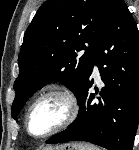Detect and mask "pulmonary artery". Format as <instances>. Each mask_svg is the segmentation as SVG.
<instances>
[{"label": "pulmonary artery", "mask_w": 139, "mask_h": 150, "mask_svg": "<svg viewBox=\"0 0 139 150\" xmlns=\"http://www.w3.org/2000/svg\"><path fill=\"white\" fill-rule=\"evenodd\" d=\"M94 72H95L96 74H98V69H97L96 66L94 67Z\"/></svg>", "instance_id": "1"}]
</instances>
